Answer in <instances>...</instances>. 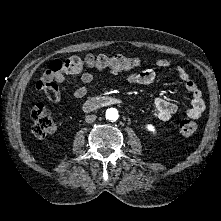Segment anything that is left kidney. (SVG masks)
I'll list each match as a JSON object with an SVG mask.
<instances>
[{"mask_svg":"<svg viewBox=\"0 0 221 221\" xmlns=\"http://www.w3.org/2000/svg\"><path fill=\"white\" fill-rule=\"evenodd\" d=\"M146 128L150 132H153V133L155 132V127L152 124H147Z\"/></svg>","mask_w":221,"mask_h":221,"instance_id":"left-kidney-1","label":"left kidney"}]
</instances>
